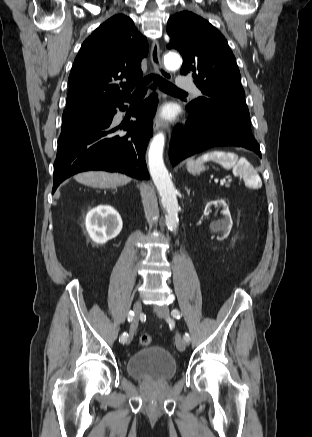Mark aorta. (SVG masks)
Masks as SVG:
<instances>
[{
	"instance_id": "obj_1",
	"label": "aorta",
	"mask_w": 312,
	"mask_h": 437,
	"mask_svg": "<svg viewBox=\"0 0 312 437\" xmlns=\"http://www.w3.org/2000/svg\"><path fill=\"white\" fill-rule=\"evenodd\" d=\"M182 60L178 54L168 53L164 57V65L168 70H176ZM165 145L164 134H157L149 148L148 166L152 180L161 197L162 205L166 211L165 223L171 231H176L179 225L178 201L176 191L163 161V149Z\"/></svg>"
}]
</instances>
